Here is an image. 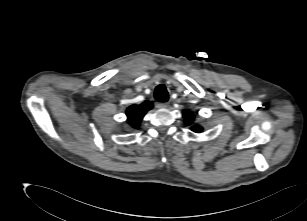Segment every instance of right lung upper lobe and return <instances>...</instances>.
Masks as SVG:
<instances>
[{"label": "right lung upper lobe", "instance_id": "1", "mask_svg": "<svg viewBox=\"0 0 307 221\" xmlns=\"http://www.w3.org/2000/svg\"><path fill=\"white\" fill-rule=\"evenodd\" d=\"M153 108L151 102H144L140 105H131L127 108L126 115L128 123L135 129L140 126V122L147 111Z\"/></svg>", "mask_w": 307, "mask_h": 221}]
</instances>
